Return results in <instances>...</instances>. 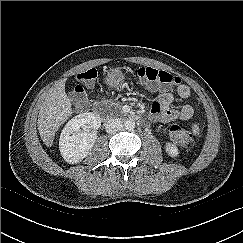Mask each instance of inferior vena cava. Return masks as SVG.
Masks as SVG:
<instances>
[{"instance_id": "602c4592", "label": "inferior vena cava", "mask_w": 243, "mask_h": 243, "mask_svg": "<svg viewBox=\"0 0 243 243\" xmlns=\"http://www.w3.org/2000/svg\"><path fill=\"white\" fill-rule=\"evenodd\" d=\"M106 132L115 134L123 129V122L118 118H111L105 124Z\"/></svg>"}]
</instances>
